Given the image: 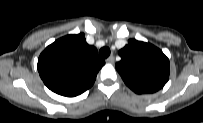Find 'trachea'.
<instances>
[{"label":"trachea","instance_id":"trachea-1","mask_svg":"<svg viewBox=\"0 0 203 123\" xmlns=\"http://www.w3.org/2000/svg\"><path fill=\"white\" fill-rule=\"evenodd\" d=\"M99 55L101 58L105 59L110 55V49L108 47H103L99 50Z\"/></svg>","mask_w":203,"mask_h":123}]
</instances>
